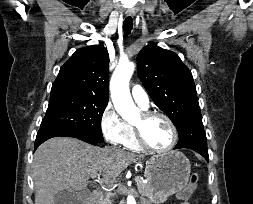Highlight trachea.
Instances as JSON below:
<instances>
[{
  "label": "trachea",
  "instance_id": "3493384b",
  "mask_svg": "<svg viewBox=\"0 0 253 204\" xmlns=\"http://www.w3.org/2000/svg\"><path fill=\"white\" fill-rule=\"evenodd\" d=\"M132 26H133V20L132 18L129 16L127 17L124 22H123V30H124V34L127 36L131 33L132 30Z\"/></svg>",
  "mask_w": 253,
  "mask_h": 204
}]
</instances>
